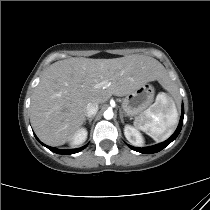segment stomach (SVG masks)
I'll use <instances>...</instances> for the list:
<instances>
[{
	"mask_svg": "<svg viewBox=\"0 0 210 210\" xmlns=\"http://www.w3.org/2000/svg\"><path fill=\"white\" fill-rule=\"evenodd\" d=\"M154 99V87L148 83L127 94L122 101L126 116L142 115Z\"/></svg>",
	"mask_w": 210,
	"mask_h": 210,
	"instance_id": "0dacf381",
	"label": "stomach"
}]
</instances>
